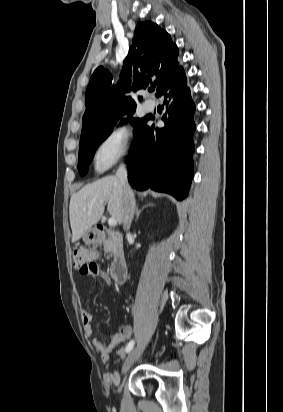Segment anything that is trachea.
<instances>
[{"instance_id":"3493384b","label":"trachea","mask_w":283,"mask_h":412,"mask_svg":"<svg viewBox=\"0 0 283 412\" xmlns=\"http://www.w3.org/2000/svg\"><path fill=\"white\" fill-rule=\"evenodd\" d=\"M149 91H151V92L154 91V88H150Z\"/></svg>"}]
</instances>
